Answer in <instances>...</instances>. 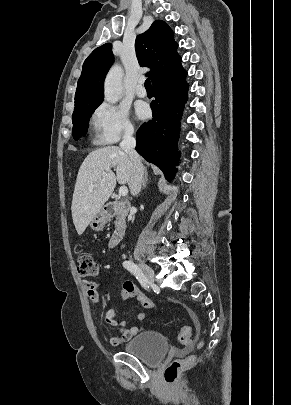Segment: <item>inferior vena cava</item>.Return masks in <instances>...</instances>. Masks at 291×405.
<instances>
[{
  "mask_svg": "<svg viewBox=\"0 0 291 405\" xmlns=\"http://www.w3.org/2000/svg\"><path fill=\"white\" fill-rule=\"evenodd\" d=\"M134 130L125 131L120 147L128 154L131 165V176L129 180V188L133 196H137L141 190V185L144 180V167L141 163L140 156L135 151L136 140L133 137Z\"/></svg>",
  "mask_w": 291,
  "mask_h": 405,
  "instance_id": "obj_1",
  "label": "inferior vena cava"
}]
</instances>
